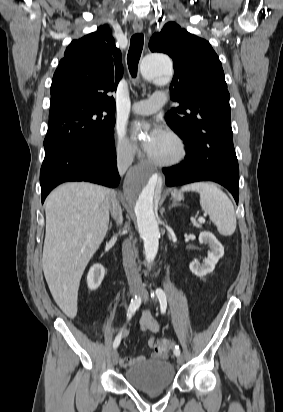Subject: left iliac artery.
Listing matches in <instances>:
<instances>
[{
    "mask_svg": "<svg viewBox=\"0 0 283 412\" xmlns=\"http://www.w3.org/2000/svg\"><path fill=\"white\" fill-rule=\"evenodd\" d=\"M151 297L152 298H158L159 303H160L161 313L164 314L165 311H166V308H167V298H166V295H165L164 291L161 288H157L155 290V293L154 292L151 293ZM174 354L176 356L180 355L179 346L175 347Z\"/></svg>",
    "mask_w": 283,
    "mask_h": 412,
    "instance_id": "obj_1",
    "label": "left iliac artery"
}]
</instances>
